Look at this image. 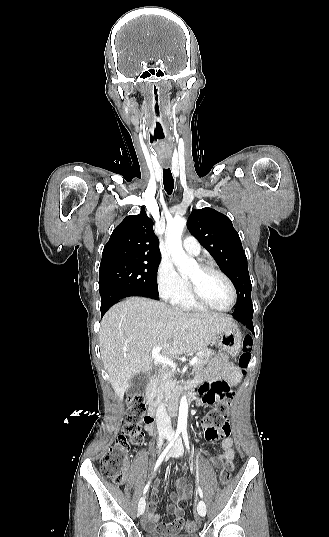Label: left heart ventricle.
Returning <instances> with one entry per match:
<instances>
[{"label":"left heart ventricle","mask_w":329,"mask_h":537,"mask_svg":"<svg viewBox=\"0 0 329 537\" xmlns=\"http://www.w3.org/2000/svg\"><path fill=\"white\" fill-rule=\"evenodd\" d=\"M186 277L192 282L196 292L210 305L226 308L231 302V291L227 283L219 275L202 271L195 265Z\"/></svg>","instance_id":"obj_1"}]
</instances>
